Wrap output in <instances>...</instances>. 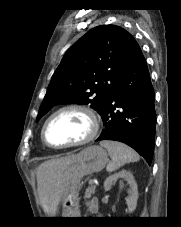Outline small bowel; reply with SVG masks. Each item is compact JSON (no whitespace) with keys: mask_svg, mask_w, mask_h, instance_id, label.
<instances>
[{"mask_svg":"<svg viewBox=\"0 0 181 227\" xmlns=\"http://www.w3.org/2000/svg\"><path fill=\"white\" fill-rule=\"evenodd\" d=\"M87 208L89 210L90 213L92 214H96L98 213V202L96 199H91L88 204H87Z\"/></svg>","mask_w":181,"mask_h":227,"instance_id":"small-bowel-1","label":"small bowel"}]
</instances>
